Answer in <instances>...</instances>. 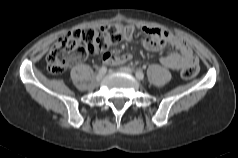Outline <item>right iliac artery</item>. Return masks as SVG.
Returning <instances> with one entry per match:
<instances>
[{
  "label": "right iliac artery",
  "instance_id": "obj_1",
  "mask_svg": "<svg viewBox=\"0 0 238 158\" xmlns=\"http://www.w3.org/2000/svg\"><path fill=\"white\" fill-rule=\"evenodd\" d=\"M107 71V68L105 66H102L100 69H99V73L101 74H105Z\"/></svg>",
  "mask_w": 238,
  "mask_h": 158
}]
</instances>
